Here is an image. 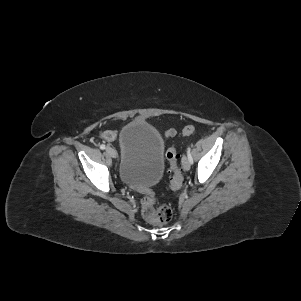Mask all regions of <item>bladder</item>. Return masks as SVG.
<instances>
[{
    "label": "bladder",
    "mask_w": 301,
    "mask_h": 301,
    "mask_svg": "<svg viewBox=\"0 0 301 301\" xmlns=\"http://www.w3.org/2000/svg\"><path fill=\"white\" fill-rule=\"evenodd\" d=\"M121 180L135 187L155 185L163 175L165 145L158 130L145 121H132L119 135Z\"/></svg>",
    "instance_id": "1"
}]
</instances>
